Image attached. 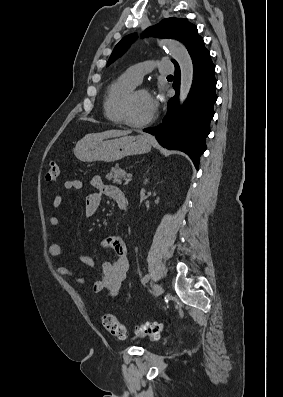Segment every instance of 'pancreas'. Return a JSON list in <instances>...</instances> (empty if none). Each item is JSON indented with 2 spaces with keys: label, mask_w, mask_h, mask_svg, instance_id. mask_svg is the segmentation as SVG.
Masks as SVG:
<instances>
[{
  "label": "pancreas",
  "mask_w": 283,
  "mask_h": 397,
  "mask_svg": "<svg viewBox=\"0 0 283 397\" xmlns=\"http://www.w3.org/2000/svg\"><path fill=\"white\" fill-rule=\"evenodd\" d=\"M125 175H126V172L123 169H121L119 167V164L117 163L115 165V167H113L111 169L110 173L106 175V178L108 180L113 179V182L116 183V184H121L122 181L125 180L124 184L127 185L129 183V180L126 179Z\"/></svg>",
  "instance_id": "pancreas-1"
}]
</instances>
